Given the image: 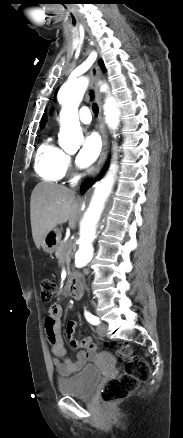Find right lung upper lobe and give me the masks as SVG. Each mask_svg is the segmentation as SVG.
<instances>
[{
	"mask_svg": "<svg viewBox=\"0 0 183 438\" xmlns=\"http://www.w3.org/2000/svg\"><path fill=\"white\" fill-rule=\"evenodd\" d=\"M44 121H45V115L43 116V119H42V121L40 122V123H41V126L44 125Z\"/></svg>",
	"mask_w": 183,
	"mask_h": 438,
	"instance_id": "cb5924a9",
	"label": "right lung upper lobe"
}]
</instances>
